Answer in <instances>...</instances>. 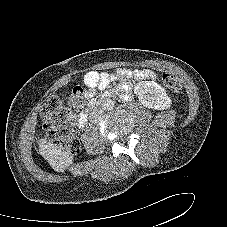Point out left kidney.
I'll use <instances>...</instances> for the list:
<instances>
[{
  "mask_svg": "<svg viewBox=\"0 0 227 227\" xmlns=\"http://www.w3.org/2000/svg\"><path fill=\"white\" fill-rule=\"evenodd\" d=\"M134 92L142 105L150 109L164 110L170 108L172 104L166 90L154 81L139 82Z\"/></svg>",
  "mask_w": 227,
  "mask_h": 227,
  "instance_id": "obj_1",
  "label": "left kidney"
}]
</instances>
